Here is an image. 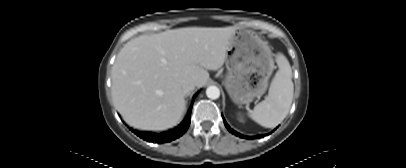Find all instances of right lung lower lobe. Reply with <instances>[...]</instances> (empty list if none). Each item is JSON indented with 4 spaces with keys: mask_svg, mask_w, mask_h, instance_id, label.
Segmentation results:
<instances>
[{
    "mask_svg": "<svg viewBox=\"0 0 406 168\" xmlns=\"http://www.w3.org/2000/svg\"><path fill=\"white\" fill-rule=\"evenodd\" d=\"M191 111H192V108L190 109L186 120L181 125H179L175 129H171V130L163 132V133L156 134V133H151V132L136 131V130H133L132 128H131V130L137 136H139L140 138H142L148 142H154V141L157 143L171 142V141L179 138L180 136H182L188 129V127L190 125Z\"/></svg>",
    "mask_w": 406,
    "mask_h": 168,
    "instance_id": "1",
    "label": "right lung lower lobe"
}]
</instances>
